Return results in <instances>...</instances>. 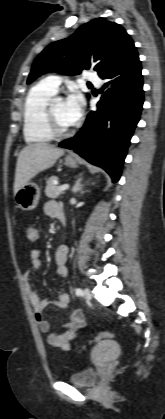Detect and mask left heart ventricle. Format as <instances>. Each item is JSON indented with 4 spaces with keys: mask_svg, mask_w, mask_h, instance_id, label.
Segmentation results:
<instances>
[{
    "mask_svg": "<svg viewBox=\"0 0 165 419\" xmlns=\"http://www.w3.org/2000/svg\"><path fill=\"white\" fill-rule=\"evenodd\" d=\"M54 113L60 127L67 129L73 126V123L68 120L65 113V104L62 100H55L53 104Z\"/></svg>",
    "mask_w": 165,
    "mask_h": 419,
    "instance_id": "b2bd125f",
    "label": "left heart ventricle"
}]
</instances>
